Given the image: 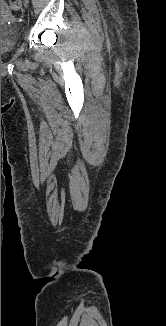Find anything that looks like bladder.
<instances>
[{
  "label": "bladder",
  "mask_w": 166,
  "mask_h": 326,
  "mask_svg": "<svg viewBox=\"0 0 166 326\" xmlns=\"http://www.w3.org/2000/svg\"><path fill=\"white\" fill-rule=\"evenodd\" d=\"M7 11V7L1 3V13ZM19 38V30L13 26L1 25V55L10 52Z\"/></svg>",
  "instance_id": "1"
}]
</instances>
